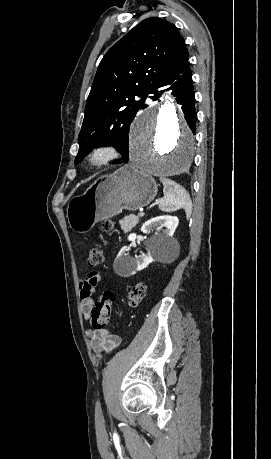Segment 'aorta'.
I'll list each match as a JSON object with an SVG mask.
<instances>
[{"mask_svg": "<svg viewBox=\"0 0 271 459\" xmlns=\"http://www.w3.org/2000/svg\"><path fill=\"white\" fill-rule=\"evenodd\" d=\"M194 136L167 92L165 102L144 112L131 131L129 156L134 168L161 178L187 169L194 156Z\"/></svg>", "mask_w": 271, "mask_h": 459, "instance_id": "762f6f07", "label": "aorta"}]
</instances>
